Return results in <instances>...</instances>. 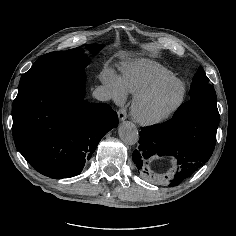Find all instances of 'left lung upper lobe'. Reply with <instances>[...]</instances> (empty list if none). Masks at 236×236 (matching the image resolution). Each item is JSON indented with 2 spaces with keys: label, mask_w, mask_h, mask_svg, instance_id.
Returning a JSON list of instances; mask_svg holds the SVG:
<instances>
[{
  "label": "left lung upper lobe",
  "mask_w": 236,
  "mask_h": 236,
  "mask_svg": "<svg viewBox=\"0 0 236 236\" xmlns=\"http://www.w3.org/2000/svg\"><path fill=\"white\" fill-rule=\"evenodd\" d=\"M190 100L206 99L216 102V93L202 67H199L193 78L189 91Z\"/></svg>",
  "instance_id": "5c2ea615"
}]
</instances>
